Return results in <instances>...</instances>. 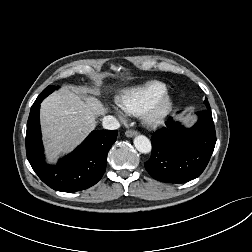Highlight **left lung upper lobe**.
Instances as JSON below:
<instances>
[{
  "label": "left lung upper lobe",
  "mask_w": 252,
  "mask_h": 252,
  "mask_svg": "<svg viewBox=\"0 0 252 252\" xmlns=\"http://www.w3.org/2000/svg\"><path fill=\"white\" fill-rule=\"evenodd\" d=\"M204 103H205L206 107H210L209 103L207 102V99H205Z\"/></svg>",
  "instance_id": "1"
}]
</instances>
